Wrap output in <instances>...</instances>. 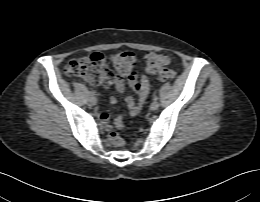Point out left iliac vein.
<instances>
[{
	"mask_svg": "<svg viewBox=\"0 0 260 202\" xmlns=\"http://www.w3.org/2000/svg\"><path fill=\"white\" fill-rule=\"evenodd\" d=\"M159 108V103L157 102V101H153L152 103H151V105H150V109L152 110V111H155V110H157Z\"/></svg>",
	"mask_w": 260,
	"mask_h": 202,
	"instance_id": "1",
	"label": "left iliac vein"
}]
</instances>
